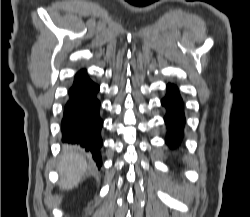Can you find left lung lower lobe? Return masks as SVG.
<instances>
[{
	"instance_id": "obj_1",
	"label": "left lung lower lobe",
	"mask_w": 250,
	"mask_h": 217,
	"mask_svg": "<svg viewBox=\"0 0 250 217\" xmlns=\"http://www.w3.org/2000/svg\"><path fill=\"white\" fill-rule=\"evenodd\" d=\"M167 90L165 98L161 101L162 105L167 108V114L164 118L168 129L166 143L171 148H175L183 137L185 124L183 101L174 85L168 84Z\"/></svg>"
}]
</instances>
